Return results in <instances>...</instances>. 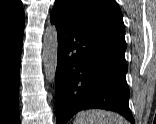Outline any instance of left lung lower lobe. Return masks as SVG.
<instances>
[{
    "mask_svg": "<svg viewBox=\"0 0 156 124\" xmlns=\"http://www.w3.org/2000/svg\"><path fill=\"white\" fill-rule=\"evenodd\" d=\"M51 22L58 32L57 124H66L78 111L91 108L118 112L135 124L128 104L126 46L71 22L55 8Z\"/></svg>",
    "mask_w": 156,
    "mask_h": 124,
    "instance_id": "1",
    "label": "left lung lower lobe"
}]
</instances>
